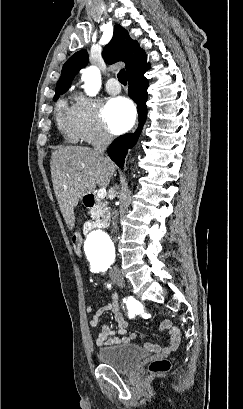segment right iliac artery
I'll return each instance as SVG.
<instances>
[{"mask_svg":"<svg viewBox=\"0 0 243 409\" xmlns=\"http://www.w3.org/2000/svg\"><path fill=\"white\" fill-rule=\"evenodd\" d=\"M99 271H100L99 269H94V270H93V272H97V273H98Z\"/></svg>","mask_w":243,"mask_h":409,"instance_id":"82829eb1","label":"right iliac artery"}]
</instances>
